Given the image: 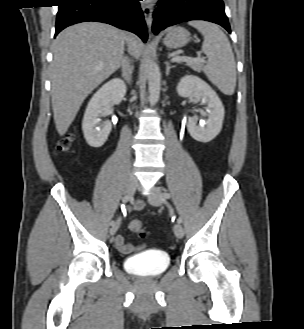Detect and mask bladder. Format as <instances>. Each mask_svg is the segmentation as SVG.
Here are the masks:
<instances>
[{
  "label": "bladder",
  "instance_id": "bladder-1",
  "mask_svg": "<svg viewBox=\"0 0 304 329\" xmlns=\"http://www.w3.org/2000/svg\"><path fill=\"white\" fill-rule=\"evenodd\" d=\"M123 264L126 270L135 277L156 278L167 269L169 256L162 254L146 261L133 256L125 259Z\"/></svg>",
  "mask_w": 304,
  "mask_h": 329
}]
</instances>
